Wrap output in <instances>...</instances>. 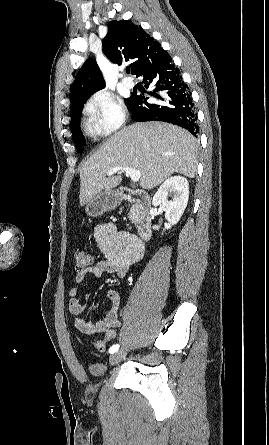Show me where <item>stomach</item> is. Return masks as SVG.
Listing matches in <instances>:
<instances>
[{
    "label": "stomach",
    "mask_w": 269,
    "mask_h": 445,
    "mask_svg": "<svg viewBox=\"0 0 269 445\" xmlns=\"http://www.w3.org/2000/svg\"><path fill=\"white\" fill-rule=\"evenodd\" d=\"M121 195L119 191L105 190L93 197L86 205V213L91 217L101 216L103 213L119 206Z\"/></svg>",
    "instance_id": "1"
}]
</instances>
